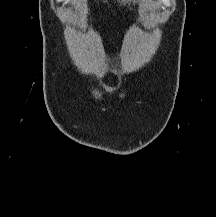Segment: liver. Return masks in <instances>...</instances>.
<instances>
[{
    "instance_id": "6515ba94",
    "label": "liver",
    "mask_w": 216,
    "mask_h": 217,
    "mask_svg": "<svg viewBox=\"0 0 216 217\" xmlns=\"http://www.w3.org/2000/svg\"><path fill=\"white\" fill-rule=\"evenodd\" d=\"M141 3L142 7H146L148 6L152 0H138ZM120 4H127L129 2H133L134 4L137 2L136 0H119ZM71 3L73 5H76L80 11V13H82L83 11L86 10V4L84 0H71Z\"/></svg>"
}]
</instances>
